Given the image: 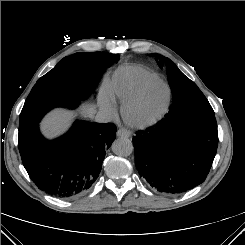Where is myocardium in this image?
Instances as JSON below:
<instances>
[{
    "label": "myocardium",
    "instance_id": "myocardium-1",
    "mask_svg": "<svg viewBox=\"0 0 245 245\" xmlns=\"http://www.w3.org/2000/svg\"><path fill=\"white\" fill-rule=\"evenodd\" d=\"M154 84H160L162 85L166 90V97L164 100V103L162 107L152 116L145 118V119H139L135 118L132 114V111L140 104L142 101L145 92L147 89ZM171 100V90L169 85L160 78H155L152 80H149L145 82L139 90L135 93L134 96H132L130 99L125 101L121 107V114L124 119V121L131 127L136 129H146L149 128L156 123H158L164 115L167 113L169 105Z\"/></svg>",
    "mask_w": 245,
    "mask_h": 245
}]
</instances>
